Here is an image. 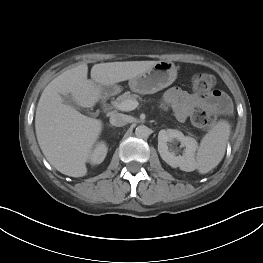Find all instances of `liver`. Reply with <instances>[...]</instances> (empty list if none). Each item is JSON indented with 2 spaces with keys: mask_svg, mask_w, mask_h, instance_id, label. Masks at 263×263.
Returning a JSON list of instances; mask_svg holds the SVG:
<instances>
[{
  "mask_svg": "<svg viewBox=\"0 0 263 263\" xmlns=\"http://www.w3.org/2000/svg\"><path fill=\"white\" fill-rule=\"evenodd\" d=\"M157 61H125L95 64L91 79L86 63L69 69L53 79L39 99L35 130L39 146L48 162L62 174L83 177L102 122L63 103L61 95L71 94L82 107L91 108L101 96V85L129 80Z\"/></svg>",
  "mask_w": 263,
  "mask_h": 263,
  "instance_id": "1",
  "label": "liver"
}]
</instances>
